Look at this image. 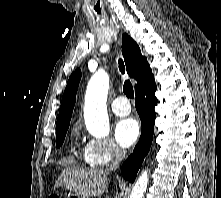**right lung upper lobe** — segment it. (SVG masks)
<instances>
[{
    "instance_id": "obj_1",
    "label": "right lung upper lobe",
    "mask_w": 221,
    "mask_h": 198,
    "mask_svg": "<svg viewBox=\"0 0 221 198\" xmlns=\"http://www.w3.org/2000/svg\"><path fill=\"white\" fill-rule=\"evenodd\" d=\"M122 54L125 60L127 73L137 80L135 91L142 88L154 76L147 59L142 56L136 42L127 34L122 35ZM81 79V71L77 69L69 77L64 91L59 115L56 122V131L69 127L73 108L76 101V92Z\"/></svg>"
}]
</instances>
